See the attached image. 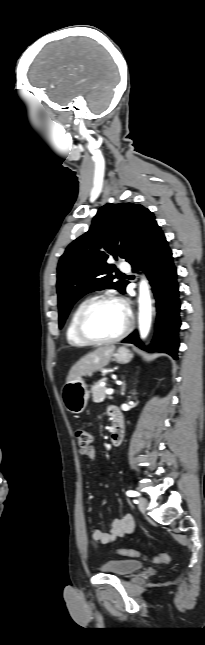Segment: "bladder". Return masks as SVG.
Segmentation results:
<instances>
[{
    "label": "bladder",
    "instance_id": "1",
    "mask_svg": "<svg viewBox=\"0 0 205 645\" xmlns=\"http://www.w3.org/2000/svg\"><path fill=\"white\" fill-rule=\"evenodd\" d=\"M143 568V563L135 559H111L100 566L103 572L128 576L132 575Z\"/></svg>",
    "mask_w": 205,
    "mask_h": 645
}]
</instances>
